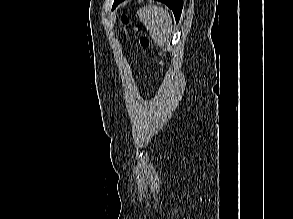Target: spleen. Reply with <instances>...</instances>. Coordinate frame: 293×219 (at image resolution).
<instances>
[{"mask_svg":"<svg viewBox=\"0 0 293 219\" xmlns=\"http://www.w3.org/2000/svg\"><path fill=\"white\" fill-rule=\"evenodd\" d=\"M138 16L149 31L154 42L164 47L172 31V19L166 9L158 6H148L139 9Z\"/></svg>","mask_w":293,"mask_h":219,"instance_id":"obj_1","label":"spleen"}]
</instances>
